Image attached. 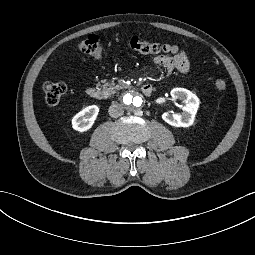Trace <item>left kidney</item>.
I'll use <instances>...</instances> for the list:
<instances>
[{
  "mask_svg": "<svg viewBox=\"0 0 255 255\" xmlns=\"http://www.w3.org/2000/svg\"><path fill=\"white\" fill-rule=\"evenodd\" d=\"M173 100L179 99L184 103L182 114L165 112L162 119L169 125L175 127H189L195 120V115L199 107V98L191 91L184 88H174L171 90Z\"/></svg>",
  "mask_w": 255,
  "mask_h": 255,
  "instance_id": "1",
  "label": "left kidney"
}]
</instances>
